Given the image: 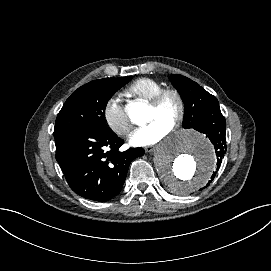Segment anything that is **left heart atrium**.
<instances>
[{
	"mask_svg": "<svg viewBox=\"0 0 271 271\" xmlns=\"http://www.w3.org/2000/svg\"><path fill=\"white\" fill-rule=\"evenodd\" d=\"M171 126L156 120L146 126L135 129L129 136V142L137 147H149L166 138Z\"/></svg>",
	"mask_w": 271,
	"mask_h": 271,
	"instance_id": "39dd6f15",
	"label": "left heart atrium"
}]
</instances>
